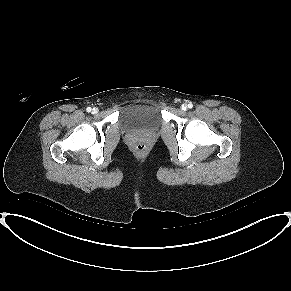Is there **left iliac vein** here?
I'll use <instances>...</instances> for the list:
<instances>
[{"label":"left iliac vein","mask_w":291,"mask_h":291,"mask_svg":"<svg viewBox=\"0 0 291 291\" xmlns=\"http://www.w3.org/2000/svg\"><path fill=\"white\" fill-rule=\"evenodd\" d=\"M181 109L185 111V110L187 109V105H186V104H183V105L181 106Z\"/></svg>","instance_id":"left-iliac-vein-1"}]
</instances>
